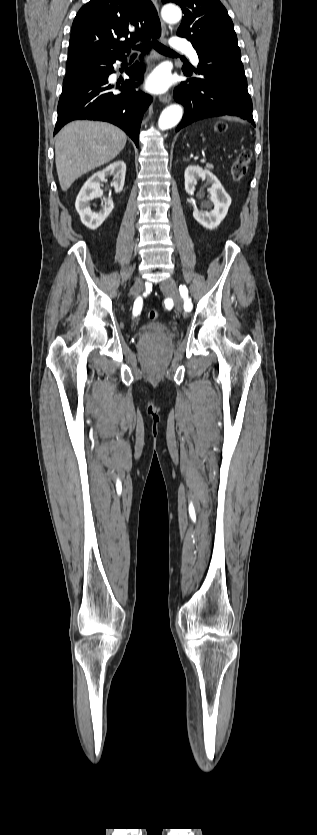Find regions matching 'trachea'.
Returning a JSON list of instances; mask_svg holds the SVG:
<instances>
[{
    "mask_svg": "<svg viewBox=\"0 0 317 835\" xmlns=\"http://www.w3.org/2000/svg\"><path fill=\"white\" fill-rule=\"evenodd\" d=\"M152 45H153V47H154V48H155V49H156L159 53H162V54H165V55H175V54H176V52H174L173 50H171V49L167 48L166 46H164L163 44L159 43V42H158V41H156L155 39L152 41ZM133 55H136V53H135V54H133Z\"/></svg>",
    "mask_w": 317,
    "mask_h": 835,
    "instance_id": "trachea-1",
    "label": "trachea"
}]
</instances>
